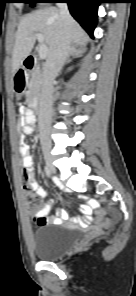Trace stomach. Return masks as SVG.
<instances>
[{
  "label": "stomach",
  "instance_id": "0dacf381",
  "mask_svg": "<svg viewBox=\"0 0 136 296\" xmlns=\"http://www.w3.org/2000/svg\"><path fill=\"white\" fill-rule=\"evenodd\" d=\"M25 89V85H14L13 89H10V94H23Z\"/></svg>",
  "mask_w": 136,
  "mask_h": 296
}]
</instances>
